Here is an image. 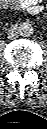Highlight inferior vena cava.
Segmentation results:
<instances>
[{"label": "inferior vena cava", "mask_w": 47, "mask_h": 129, "mask_svg": "<svg viewBox=\"0 0 47 129\" xmlns=\"http://www.w3.org/2000/svg\"><path fill=\"white\" fill-rule=\"evenodd\" d=\"M18 36V27H11L8 33L9 39H14Z\"/></svg>", "instance_id": "inferior-vena-cava-1"}]
</instances>
